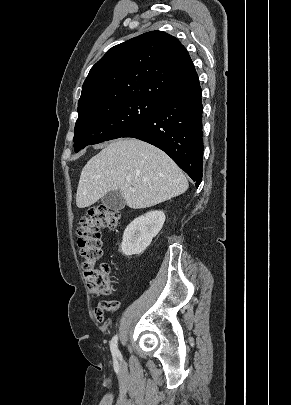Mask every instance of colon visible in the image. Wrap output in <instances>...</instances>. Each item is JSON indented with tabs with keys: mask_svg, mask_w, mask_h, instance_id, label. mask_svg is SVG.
<instances>
[{
	"mask_svg": "<svg viewBox=\"0 0 291 405\" xmlns=\"http://www.w3.org/2000/svg\"><path fill=\"white\" fill-rule=\"evenodd\" d=\"M119 218L118 211L95 207L80 220L77 230V243L88 288L97 296L108 295L112 284L109 265L102 263L97 267L102 256L101 230L115 229Z\"/></svg>",
	"mask_w": 291,
	"mask_h": 405,
	"instance_id": "5ec220e1",
	"label": "colon"
}]
</instances>
